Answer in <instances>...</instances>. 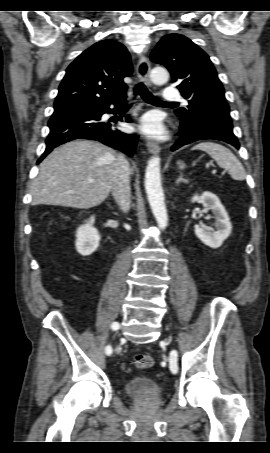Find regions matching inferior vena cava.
<instances>
[{
    "label": "inferior vena cava",
    "instance_id": "1",
    "mask_svg": "<svg viewBox=\"0 0 270 453\" xmlns=\"http://www.w3.org/2000/svg\"><path fill=\"white\" fill-rule=\"evenodd\" d=\"M130 166L128 160L123 155H118L114 162V176L112 184V195L120 207L127 213L131 204L130 189Z\"/></svg>",
    "mask_w": 270,
    "mask_h": 453
}]
</instances>
